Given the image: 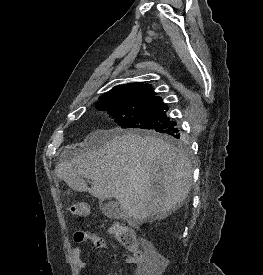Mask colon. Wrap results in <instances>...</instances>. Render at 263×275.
I'll use <instances>...</instances> for the list:
<instances>
[{"instance_id":"colon-1","label":"colon","mask_w":263,"mask_h":275,"mask_svg":"<svg viewBox=\"0 0 263 275\" xmlns=\"http://www.w3.org/2000/svg\"><path fill=\"white\" fill-rule=\"evenodd\" d=\"M71 214L77 219H83L88 215L85 204L78 203L71 206ZM109 233L132 253L137 264L141 268V275H157L162 267V261L155 257L147 256L140 248L134 231L127 225L115 223L109 228Z\"/></svg>"}]
</instances>
